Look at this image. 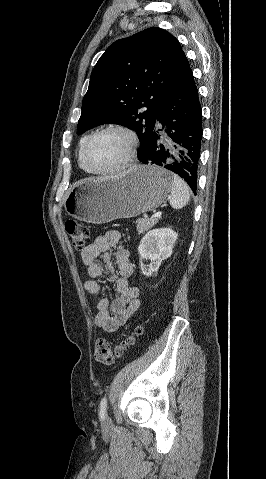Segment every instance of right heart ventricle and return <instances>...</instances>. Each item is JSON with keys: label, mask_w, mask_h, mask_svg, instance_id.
<instances>
[{"label": "right heart ventricle", "mask_w": 266, "mask_h": 479, "mask_svg": "<svg viewBox=\"0 0 266 479\" xmlns=\"http://www.w3.org/2000/svg\"><path fill=\"white\" fill-rule=\"evenodd\" d=\"M88 136H84L81 141H80V145H79V152H78V164H79V167L85 171V172H88L89 171L87 170V168L85 167L84 163H83V160H82V150H83V147H84V144L87 140Z\"/></svg>", "instance_id": "right-heart-ventricle-1"}]
</instances>
